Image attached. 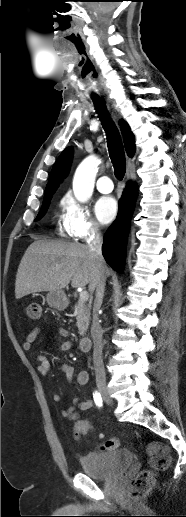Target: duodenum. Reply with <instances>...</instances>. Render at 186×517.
<instances>
[{
	"label": "duodenum",
	"instance_id": "duodenum-1",
	"mask_svg": "<svg viewBox=\"0 0 186 517\" xmlns=\"http://www.w3.org/2000/svg\"><path fill=\"white\" fill-rule=\"evenodd\" d=\"M92 347V339L89 336H83L79 339V348L83 352H89Z\"/></svg>",
	"mask_w": 186,
	"mask_h": 517
}]
</instances>
